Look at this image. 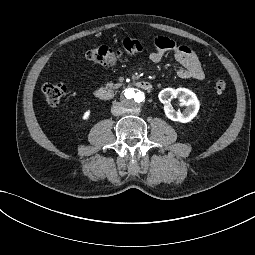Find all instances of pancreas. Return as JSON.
Instances as JSON below:
<instances>
[{
    "label": "pancreas",
    "instance_id": "cf45deb5",
    "mask_svg": "<svg viewBox=\"0 0 255 255\" xmlns=\"http://www.w3.org/2000/svg\"><path fill=\"white\" fill-rule=\"evenodd\" d=\"M107 85L110 87V88H113V89H116L118 87H120L122 85V83H118V84H114V83H107Z\"/></svg>",
    "mask_w": 255,
    "mask_h": 255
}]
</instances>
